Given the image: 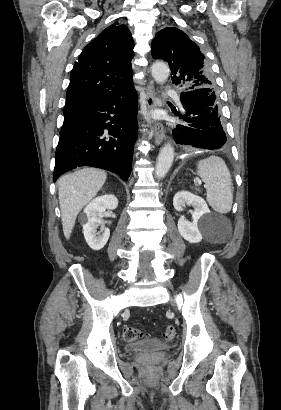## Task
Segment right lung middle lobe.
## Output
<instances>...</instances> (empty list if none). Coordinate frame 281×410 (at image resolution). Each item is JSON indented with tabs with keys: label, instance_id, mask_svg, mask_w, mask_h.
Masks as SVG:
<instances>
[{
	"label": "right lung middle lobe",
	"instance_id": "obj_1",
	"mask_svg": "<svg viewBox=\"0 0 281 410\" xmlns=\"http://www.w3.org/2000/svg\"><path fill=\"white\" fill-rule=\"evenodd\" d=\"M80 109H67L64 110V117L65 119L73 116L75 113H77Z\"/></svg>",
	"mask_w": 281,
	"mask_h": 410
}]
</instances>
